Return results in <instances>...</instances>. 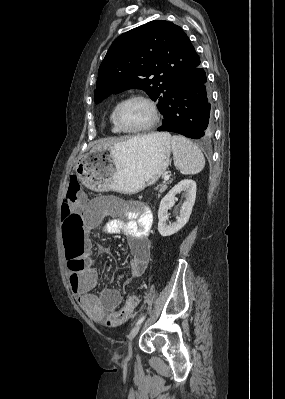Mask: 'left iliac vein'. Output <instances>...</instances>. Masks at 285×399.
Masks as SVG:
<instances>
[{"instance_id":"obj_1","label":"left iliac vein","mask_w":285,"mask_h":399,"mask_svg":"<svg viewBox=\"0 0 285 399\" xmlns=\"http://www.w3.org/2000/svg\"><path fill=\"white\" fill-rule=\"evenodd\" d=\"M142 323L138 324L135 326L132 331L129 334V356L132 354V342L135 336L138 334L140 328H141Z\"/></svg>"}]
</instances>
